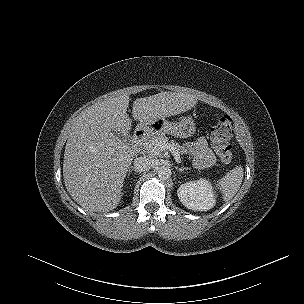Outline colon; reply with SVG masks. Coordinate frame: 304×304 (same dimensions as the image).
I'll use <instances>...</instances> for the list:
<instances>
[{"label":"colon","mask_w":304,"mask_h":304,"mask_svg":"<svg viewBox=\"0 0 304 304\" xmlns=\"http://www.w3.org/2000/svg\"><path fill=\"white\" fill-rule=\"evenodd\" d=\"M231 133V118L228 116L220 118L211 130L210 139L212 146L224 163H230L233 158V149L229 143Z\"/></svg>","instance_id":"obj_1"}]
</instances>
